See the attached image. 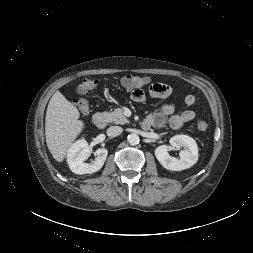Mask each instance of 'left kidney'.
I'll list each match as a JSON object with an SVG mask.
<instances>
[{
  "mask_svg": "<svg viewBox=\"0 0 253 253\" xmlns=\"http://www.w3.org/2000/svg\"><path fill=\"white\" fill-rule=\"evenodd\" d=\"M172 147L180 149V159L171 157L168 146L161 145L155 149V156L160 164L171 171H181L190 168L198 161V146L196 141L188 135H176L170 139Z\"/></svg>",
  "mask_w": 253,
  "mask_h": 253,
  "instance_id": "obj_1",
  "label": "left kidney"
}]
</instances>
